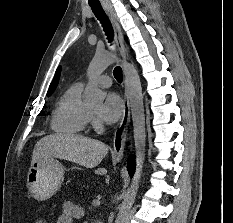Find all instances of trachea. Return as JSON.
Listing matches in <instances>:
<instances>
[{
	"mask_svg": "<svg viewBox=\"0 0 233 223\" xmlns=\"http://www.w3.org/2000/svg\"><path fill=\"white\" fill-rule=\"evenodd\" d=\"M90 6H91L95 16L102 24V27L105 31V34L108 37L109 42H111L113 39V28H112V25H111V22H110L108 16L103 11L99 2L91 3ZM113 75L116 78L117 82H119V83L122 82V69L119 66L114 69Z\"/></svg>",
	"mask_w": 233,
	"mask_h": 223,
	"instance_id": "3493384b",
	"label": "trachea"
}]
</instances>
